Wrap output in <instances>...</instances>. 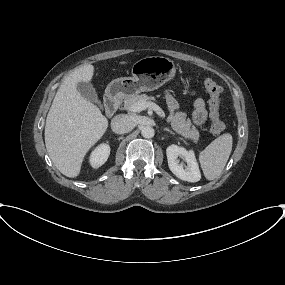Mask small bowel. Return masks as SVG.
Segmentation results:
<instances>
[{
	"label": "small bowel",
	"mask_w": 285,
	"mask_h": 285,
	"mask_svg": "<svg viewBox=\"0 0 285 285\" xmlns=\"http://www.w3.org/2000/svg\"><path fill=\"white\" fill-rule=\"evenodd\" d=\"M168 107L171 110H176L178 107L177 101L170 94H166ZM206 120L205 102L202 98H196L194 102L193 121L196 125H202Z\"/></svg>",
	"instance_id": "small-bowel-1"
}]
</instances>
